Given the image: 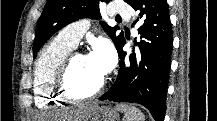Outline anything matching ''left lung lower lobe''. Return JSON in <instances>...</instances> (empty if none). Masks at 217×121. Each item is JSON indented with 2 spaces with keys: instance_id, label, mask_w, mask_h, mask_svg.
Wrapping results in <instances>:
<instances>
[{
  "instance_id": "left-lung-lower-lobe-1",
  "label": "left lung lower lobe",
  "mask_w": 217,
  "mask_h": 121,
  "mask_svg": "<svg viewBox=\"0 0 217 121\" xmlns=\"http://www.w3.org/2000/svg\"><path fill=\"white\" fill-rule=\"evenodd\" d=\"M141 21L137 47L126 58L125 38L117 46L120 69L117 79L100 100L134 102L146 107L156 121H164L173 35L166 0H130Z\"/></svg>"
}]
</instances>
